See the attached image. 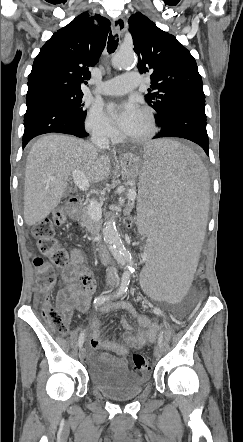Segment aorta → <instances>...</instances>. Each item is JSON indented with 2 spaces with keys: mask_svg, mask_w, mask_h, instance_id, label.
Instances as JSON below:
<instances>
[{
  "mask_svg": "<svg viewBox=\"0 0 243 442\" xmlns=\"http://www.w3.org/2000/svg\"><path fill=\"white\" fill-rule=\"evenodd\" d=\"M135 55L130 52H118L113 60L112 65L116 69H127L135 66ZM103 235L106 242L109 244L111 253L114 258L123 264H126L128 270L132 269V256L131 253L125 248L120 234L116 227V218L113 215L104 225Z\"/></svg>",
  "mask_w": 243,
  "mask_h": 442,
  "instance_id": "1",
  "label": "aorta"
}]
</instances>
